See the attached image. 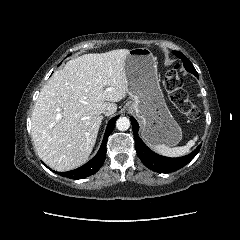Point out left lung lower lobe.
<instances>
[{
  "label": "left lung lower lobe",
  "mask_w": 240,
  "mask_h": 240,
  "mask_svg": "<svg viewBox=\"0 0 240 240\" xmlns=\"http://www.w3.org/2000/svg\"><path fill=\"white\" fill-rule=\"evenodd\" d=\"M195 76L198 77V74ZM130 120L133 126L137 155L147 168L155 172L169 173L176 171L188 164L200 150L201 145H199L192 153L183 157L169 158L160 156L151 151L138 136L139 125L137 121L133 117H130Z\"/></svg>",
  "instance_id": "obj_1"
}]
</instances>
